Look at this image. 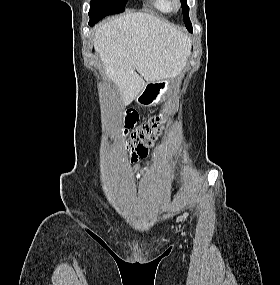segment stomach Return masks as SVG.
<instances>
[{"mask_svg":"<svg viewBox=\"0 0 280 285\" xmlns=\"http://www.w3.org/2000/svg\"><path fill=\"white\" fill-rule=\"evenodd\" d=\"M173 82L174 77L157 82H149L135 100L145 106L156 105L166 99Z\"/></svg>","mask_w":280,"mask_h":285,"instance_id":"stomach-1","label":"stomach"}]
</instances>
